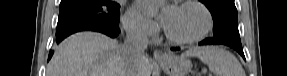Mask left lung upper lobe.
Segmentation results:
<instances>
[{"instance_id":"obj_1","label":"left lung upper lobe","mask_w":287,"mask_h":76,"mask_svg":"<svg viewBox=\"0 0 287 76\" xmlns=\"http://www.w3.org/2000/svg\"><path fill=\"white\" fill-rule=\"evenodd\" d=\"M212 14L213 38L223 44H241L234 0H200Z\"/></svg>"}]
</instances>
